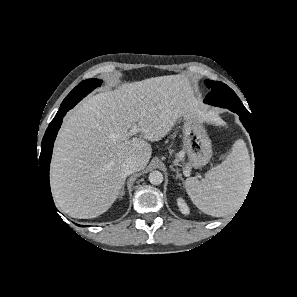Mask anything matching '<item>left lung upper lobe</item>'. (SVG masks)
I'll use <instances>...</instances> for the list:
<instances>
[{"label": "left lung upper lobe", "instance_id": "1", "mask_svg": "<svg viewBox=\"0 0 297 297\" xmlns=\"http://www.w3.org/2000/svg\"><path fill=\"white\" fill-rule=\"evenodd\" d=\"M205 84L211 91L207 94L204 102L207 104L228 108L233 112L249 114L239 97L226 84L219 81L206 80Z\"/></svg>", "mask_w": 297, "mask_h": 297}]
</instances>
